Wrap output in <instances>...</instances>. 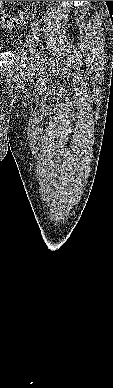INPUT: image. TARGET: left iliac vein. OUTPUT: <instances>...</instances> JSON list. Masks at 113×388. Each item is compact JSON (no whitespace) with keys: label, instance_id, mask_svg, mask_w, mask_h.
I'll return each mask as SVG.
<instances>
[{"label":"left iliac vein","instance_id":"obj_1","mask_svg":"<svg viewBox=\"0 0 113 388\" xmlns=\"http://www.w3.org/2000/svg\"><path fill=\"white\" fill-rule=\"evenodd\" d=\"M29 51L32 54V56H36V45H35V39L31 36L27 38Z\"/></svg>","mask_w":113,"mask_h":388}]
</instances>
